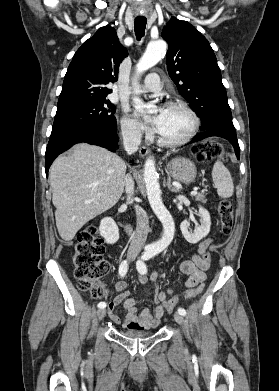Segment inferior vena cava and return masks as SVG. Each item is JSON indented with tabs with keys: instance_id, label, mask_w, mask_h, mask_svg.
I'll list each match as a JSON object with an SVG mask.
<instances>
[{
	"instance_id": "1",
	"label": "inferior vena cava",
	"mask_w": 279,
	"mask_h": 391,
	"mask_svg": "<svg viewBox=\"0 0 279 391\" xmlns=\"http://www.w3.org/2000/svg\"><path fill=\"white\" fill-rule=\"evenodd\" d=\"M123 145L126 152L131 155L138 150L141 143V132L136 128H129L122 131ZM125 190L127 193V201H132L134 194V181L132 177L127 174L125 176ZM137 226L133 239L130 243L128 254L138 255L141 251L149 232V220L146 211L140 206L135 207Z\"/></svg>"
}]
</instances>
